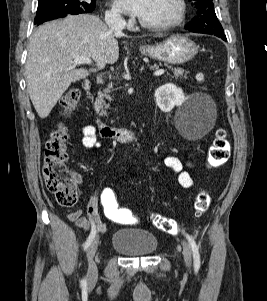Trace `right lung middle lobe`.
<instances>
[{"label": "right lung middle lobe", "mask_w": 267, "mask_h": 301, "mask_svg": "<svg viewBox=\"0 0 267 301\" xmlns=\"http://www.w3.org/2000/svg\"><path fill=\"white\" fill-rule=\"evenodd\" d=\"M95 7V0H38L34 22L35 24L40 23L58 15L89 13Z\"/></svg>", "instance_id": "right-lung-middle-lobe-1"}]
</instances>
